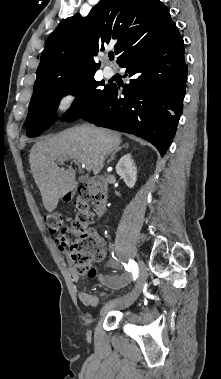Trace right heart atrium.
I'll return each instance as SVG.
<instances>
[{"label":"right heart atrium","instance_id":"d8ad5b80","mask_svg":"<svg viewBox=\"0 0 221 379\" xmlns=\"http://www.w3.org/2000/svg\"><path fill=\"white\" fill-rule=\"evenodd\" d=\"M78 97H79V90L74 87H70L63 90L56 98L55 111L59 115L69 114L74 108L78 100Z\"/></svg>","mask_w":221,"mask_h":379}]
</instances>
